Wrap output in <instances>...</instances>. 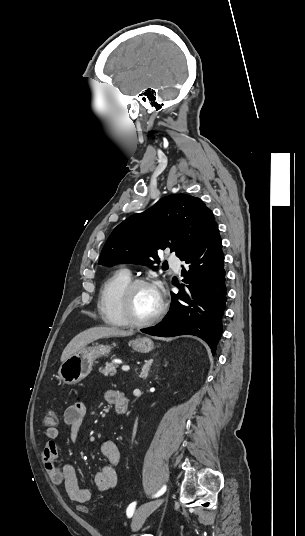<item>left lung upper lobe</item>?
Here are the masks:
<instances>
[{"instance_id": "5c2ea615", "label": "left lung upper lobe", "mask_w": 305, "mask_h": 536, "mask_svg": "<svg viewBox=\"0 0 305 536\" xmlns=\"http://www.w3.org/2000/svg\"><path fill=\"white\" fill-rule=\"evenodd\" d=\"M216 227L212 211L201 199L186 194L169 195L121 222L107 239L99 264L126 262L152 266V258L159 263L157 250L165 248L182 258Z\"/></svg>"}]
</instances>
